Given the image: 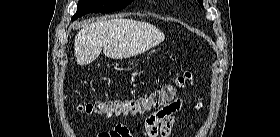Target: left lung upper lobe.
I'll return each instance as SVG.
<instances>
[{
  "label": "left lung upper lobe",
  "mask_w": 280,
  "mask_h": 137,
  "mask_svg": "<svg viewBox=\"0 0 280 137\" xmlns=\"http://www.w3.org/2000/svg\"><path fill=\"white\" fill-rule=\"evenodd\" d=\"M201 5H203V0H198Z\"/></svg>",
  "instance_id": "1"
}]
</instances>
